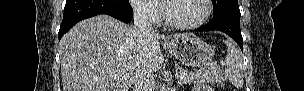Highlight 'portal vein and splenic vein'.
I'll return each instance as SVG.
<instances>
[{"label":"portal vein and splenic vein","instance_id":"18ae733b","mask_svg":"<svg viewBox=\"0 0 304 91\" xmlns=\"http://www.w3.org/2000/svg\"><path fill=\"white\" fill-rule=\"evenodd\" d=\"M185 77H186V74L184 73L182 76L179 77V82L180 83L184 82Z\"/></svg>","mask_w":304,"mask_h":91}]
</instances>
